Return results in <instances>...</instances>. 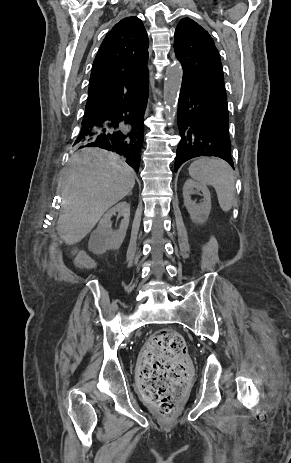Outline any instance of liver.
I'll return each mask as SVG.
<instances>
[{"label": "liver", "mask_w": 291, "mask_h": 463, "mask_svg": "<svg viewBox=\"0 0 291 463\" xmlns=\"http://www.w3.org/2000/svg\"><path fill=\"white\" fill-rule=\"evenodd\" d=\"M61 186L62 214L57 230L68 245L80 242L102 215L135 185V173L118 155L83 148L69 160Z\"/></svg>", "instance_id": "1"}]
</instances>
